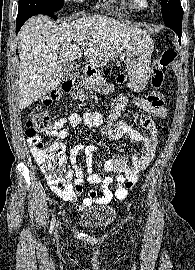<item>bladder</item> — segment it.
<instances>
[{
  "label": "bladder",
  "instance_id": "bladder-1",
  "mask_svg": "<svg viewBox=\"0 0 195 270\" xmlns=\"http://www.w3.org/2000/svg\"><path fill=\"white\" fill-rule=\"evenodd\" d=\"M116 216V210L111 206L91 207L82 212L79 224L91 231H102L114 223Z\"/></svg>",
  "mask_w": 195,
  "mask_h": 270
}]
</instances>
